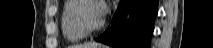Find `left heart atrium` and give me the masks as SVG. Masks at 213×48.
<instances>
[{
  "mask_svg": "<svg viewBox=\"0 0 213 48\" xmlns=\"http://www.w3.org/2000/svg\"><path fill=\"white\" fill-rule=\"evenodd\" d=\"M98 11H99L100 17H103V15L106 12V4H105V2L100 1L98 3Z\"/></svg>",
  "mask_w": 213,
  "mask_h": 48,
  "instance_id": "39dd6f15",
  "label": "left heart atrium"
}]
</instances>
